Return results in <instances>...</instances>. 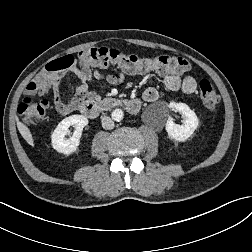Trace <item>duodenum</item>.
Instances as JSON below:
<instances>
[{
  "label": "duodenum",
  "instance_id": "410a0bca",
  "mask_svg": "<svg viewBox=\"0 0 252 252\" xmlns=\"http://www.w3.org/2000/svg\"><path fill=\"white\" fill-rule=\"evenodd\" d=\"M114 105L122 106L129 113L134 114L139 111L141 102L139 99H126V100H120V101L109 100L102 103L96 102L94 100H86L80 104L79 110L85 117L95 118L103 110Z\"/></svg>",
  "mask_w": 252,
  "mask_h": 252
}]
</instances>
